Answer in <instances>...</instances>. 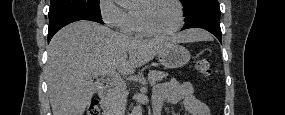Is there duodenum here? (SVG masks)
I'll return each mask as SVG.
<instances>
[{
    "label": "duodenum",
    "instance_id": "410a0bca",
    "mask_svg": "<svg viewBox=\"0 0 285 115\" xmlns=\"http://www.w3.org/2000/svg\"><path fill=\"white\" fill-rule=\"evenodd\" d=\"M109 92H110L109 87H107V86L101 87L100 90H99L100 98L103 99V100L108 98Z\"/></svg>",
    "mask_w": 285,
    "mask_h": 115
}]
</instances>
